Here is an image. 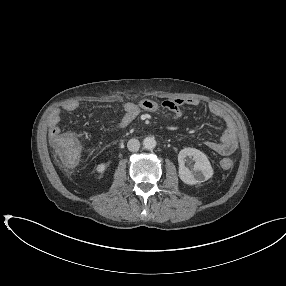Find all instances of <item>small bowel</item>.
Listing matches in <instances>:
<instances>
[{
  "label": "small bowel",
  "instance_id": "small-bowel-1",
  "mask_svg": "<svg viewBox=\"0 0 286 286\" xmlns=\"http://www.w3.org/2000/svg\"><path fill=\"white\" fill-rule=\"evenodd\" d=\"M199 101L197 99H183L175 98L165 100L163 102H156L149 99H142L138 103L128 102L123 104L120 113L112 119L118 120V126L120 129L128 127L142 111L160 113L174 120L181 119L183 117L182 108L186 105L197 106ZM79 108V103L71 101L62 107V110H54L49 118L51 137L59 134V123L61 120V112H74ZM209 112L223 121L225 125V131L220 141H205L204 146L215 153L223 156H229L238 148V138L236 127L231 115L220 105L211 103L208 105Z\"/></svg>",
  "mask_w": 286,
  "mask_h": 286
}]
</instances>
